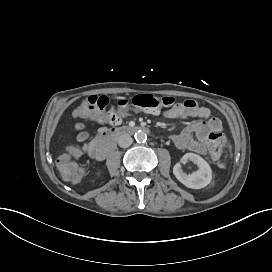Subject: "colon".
<instances>
[{"instance_id":"5ec220e1","label":"colon","mask_w":272,"mask_h":272,"mask_svg":"<svg viewBox=\"0 0 272 272\" xmlns=\"http://www.w3.org/2000/svg\"><path fill=\"white\" fill-rule=\"evenodd\" d=\"M173 102L174 98L172 96L140 94L133 97L131 101L120 100L116 110L112 109L111 111L110 98L92 95L85 98L84 102L79 105L78 112L83 117H88L92 114L93 119L97 122L106 120L109 123L120 124L127 109L135 108L147 112H155L170 107ZM74 128L83 129L84 124L81 121H77L74 123ZM207 143L210 146L211 157L220 166L224 167L227 164L228 151L231 150V147L228 145V135L220 131H211L207 136ZM79 157V150L75 147H69L65 150L64 157L57 162L60 172L73 186H78L82 182V178L87 174V169L83 165L73 164Z\"/></svg>"}]
</instances>
